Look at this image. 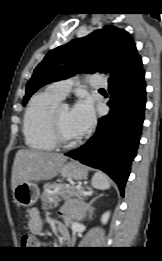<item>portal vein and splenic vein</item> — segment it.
Instances as JSON below:
<instances>
[{
    "mask_svg": "<svg viewBox=\"0 0 162 261\" xmlns=\"http://www.w3.org/2000/svg\"><path fill=\"white\" fill-rule=\"evenodd\" d=\"M76 189H81V185H76Z\"/></svg>",
    "mask_w": 162,
    "mask_h": 261,
    "instance_id": "1",
    "label": "portal vein and splenic vein"
}]
</instances>
